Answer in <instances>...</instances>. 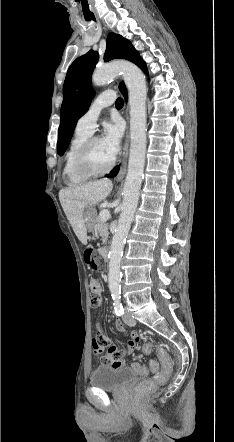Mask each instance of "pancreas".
I'll list each match as a JSON object with an SVG mask.
<instances>
[{
    "label": "pancreas",
    "instance_id": "obj_1",
    "mask_svg": "<svg viewBox=\"0 0 234 442\" xmlns=\"http://www.w3.org/2000/svg\"><path fill=\"white\" fill-rule=\"evenodd\" d=\"M95 230L101 236V240L103 244H106L109 236L108 232V224L106 222L101 221L100 216H96V226Z\"/></svg>",
    "mask_w": 234,
    "mask_h": 442
}]
</instances>
